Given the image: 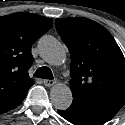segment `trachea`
I'll return each mask as SVG.
<instances>
[{"instance_id":"obj_1","label":"trachea","mask_w":125,"mask_h":125,"mask_svg":"<svg viewBox=\"0 0 125 125\" xmlns=\"http://www.w3.org/2000/svg\"><path fill=\"white\" fill-rule=\"evenodd\" d=\"M34 77L52 80L53 74L50 68L43 66L36 70Z\"/></svg>"}]
</instances>
